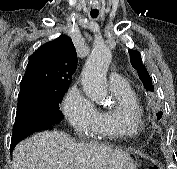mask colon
I'll use <instances>...</instances> for the list:
<instances>
[{
	"mask_svg": "<svg viewBox=\"0 0 177 169\" xmlns=\"http://www.w3.org/2000/svg\"><path fill=\"white\" fill-rule=\"evenodd\" d=\"M149 169H159L157 166H152Z\"/></svg>",
	"mask_w": 177,
	"mask_h": 169,
	"instance_id": "5ec220e1",
	"label": "colon"
}]
</instances>
